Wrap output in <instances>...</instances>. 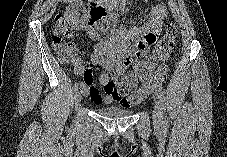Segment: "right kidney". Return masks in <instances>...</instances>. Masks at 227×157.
<instances>
[{
    "mask_svg": "<svg viewBox=\"0 0 227 157\" xmlns=\"http://www.w3.org/2000/svg\"><path fill=\"white\" fill-rule=\"evenodd\" d=\"M78 15H79L78 6L72 5V6H68L66 8L65 16H66L67 20L69 21V23L71 25H73L74 27H77V25L80 23Z\"/></svg>",
    "mask_w": 227,
    "mask_h": 157,
    "instance_id": "right-kidney-1",
    "label": "right kidney"
}]
</instances>
